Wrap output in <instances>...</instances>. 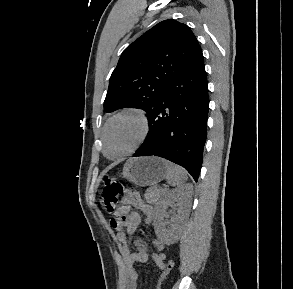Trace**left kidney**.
Masks as SVG:
<instances>
[{
  "label": "left kidney",
  "instance_id": "left-kidney-1",
  "mask_svg": "<svg viewBox=\"0 0 293 289\" xmlns=\"http://www.w3.org/2000/svg\"><path fill=\"white\" fill-rule=\"evenodd\" d=\"M191 191L190 185H184L168 192L165 198L161 201L156 210L153 221V226L157 238L167 244L172 245L178 241L182 229L185 213L189 208V194ZM176 203V204H175ZM169 206L179 207L178 214L171 218L173 224L166 227L165 218L167 215V208Z\"/></svg>",
  "mask_w": 293,
  "mask_h": 289
}]
</instances>
